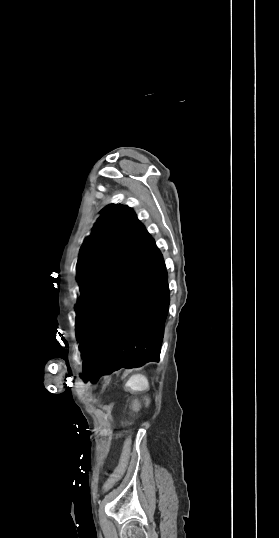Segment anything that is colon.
<instances>
[{
	"label": "colon",
	"mask_w": 279,
	"mask_h": 538,
	"mask_svg": "<svg viewBox=\"0 0 279 538\" xmlns=\"http://www.w3.org/2000/svg\"><path fill=\"white\" fill-rule=\"evenodd\" d=\"M137 407H138V404L136 401H134L132 403V410L135 411ZM131 451H132V438L128 437L126 438L123 444L119 463L117 467L115 468L114 472L111 474V476L108 478V480L106 481L104 485L105 492H108L109 490H111L123 477L128 467V463L131 456Z\"/></svg>",
	"instance_id": "5ec220e1"
}]
</instances>
